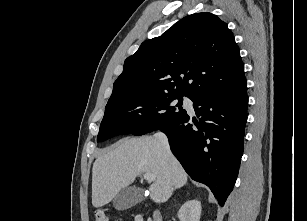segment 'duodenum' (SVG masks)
Here are the masks:
<instances>
[{
    "instance_id": "410a0bca",
    "label": "duodenum",
    "mask_w": 307,
    "mask_h": 221,
    "mask_svg": "<svg viewBox=\"0 0 307 221\" xmlns=\"http://www.w3.org/2000/svg\"><path fill=\"white\" fill-rule=\"evenodd\" d=\"M152 221H162V216L159 211L154 212Z\"/></svg>"
}]
</instances>
